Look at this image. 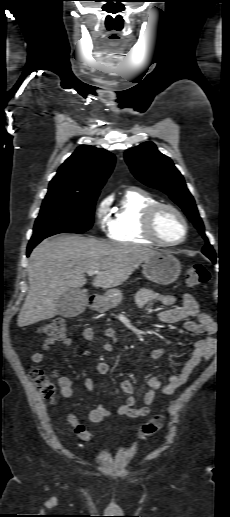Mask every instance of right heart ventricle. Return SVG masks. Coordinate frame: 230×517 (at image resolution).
<instances>
[{
	"mask_svg": "<svg viewBox=\"0 0 230 517\" xmlns=\"http://www.w3.org/2000/svg\"><path fill=\"white\" fill-rule=\"evenodd\" d=\"M159 203L147 191L131 187L122 195L108 227L110 239L121 243L156 244L144 231L145 212Z\"/></svg>",
	"mask_w": 230,
	"mask_h": 517,
	"instance_id": "1",
	"label": "right heart ventricle"
}]
</instances>
